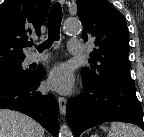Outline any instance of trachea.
Masks as SVG:
<instances>
[{"label": "trachea", "mask_w": 144, "mask_h": 137, "mask_svg": "<svg viewBox=\"0 0 144 137\" xmlns=\"http://www.w3.org/2000/svg\"><path fill=\"white\" fill-rule=\"evenodd\" d=\"M62 21V8L59 3H55L48 14V39L37 47L39 52L49 49L54 41L60 39V25ZM27 46H33V42H28Z\"/></svg>", "instance_id": "obj_1"}]
</instances>
